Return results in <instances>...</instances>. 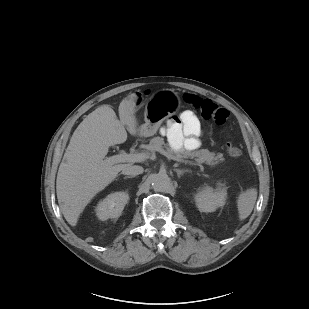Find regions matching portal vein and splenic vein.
Instances as JSON below:
<instances>
[{
    "instance_id": "obj_1",
    "label": "portal vein and splenic vein",
    "mask_w": 309,
    "mask_h": 309,
    "mask_svg": "<svg viewBox=\"0 0 309 309\" xmlns=\"http://www.w3.org/2000/svg\"><path fill=\"white\" fill-rule=\"evenodd\" d=\"M161 154L169 158L168 153L165 150H160L159 151ZM147 154L144 152L141 153H136V154H128L126 152H122L120 154L111 156L106 158L103 163L106 165H114L117 163H124V162H141L145 159H147ZM198 166L202 167V165L198 162L196 163Z\"/></svg>"
}]
</instances>
